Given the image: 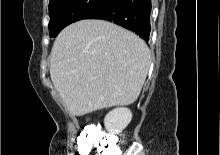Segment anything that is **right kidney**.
<instances>
[{
	"label": "right kidney",
	"instance_id": "right-kidney-1",
	"mask_svg": "<svg viewBox=\"0 0 220 155\" xmlns=\"http://www.w3.org/2000/svg\"><path fill=\"white\" fill-rule=\"evenodd\" d=\"M131 119L132 113L128 108H116L106 115L104 124L111 134H120L128 126Z\"/></svg>",
	"mask_w": 220,
	"mask_h": 155
}]
</instances>
